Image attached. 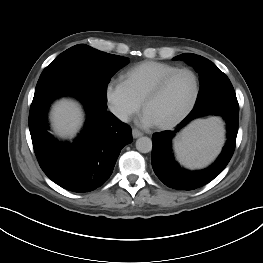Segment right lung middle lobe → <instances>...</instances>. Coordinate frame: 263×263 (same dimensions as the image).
<instances>
[{
  "label": "right lung middle lobe",
  "instance_id": "dd1d6c3e",
  "mask_svg": "<svg viewBox=\"0 0 263 263\" xmlns=\"http://www.w3.org/2000/svg\"><path fill=\"white\" fill-rule=\"evenodd\" d=\"M128 62L127 57L108 54L84 44L75 45L44 69L34 99L56 91L78 89L106 105L110 78Z\"/></svg>",
  "mask_w": 263,
  "mask_h": 263
}]
</instances>
